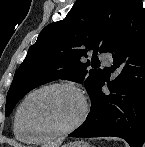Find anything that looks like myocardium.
<instances>
[{"mask_svg":"<svg viewBox=\"0 0 145 147\" xmlns=\"http://www.w3.org/2000/svg\"><path fill=\"white\" fill-rule=\"evenodd\" d=\"M51 89H68V90L73 91L79 97V99L81 101V105H82L81 113H80L79 117L71 125H69L68 127L64 128V129L57 130V131H39V132L30 131L28 128L25 127V125L23 123L22 114H23L24 107H25L26 103L28 102V100L30 98H32L34 95H36L40 92H43V91L51 90ZM88 111H89V106H88L87 98H86L85 94L83 93V91L78 86H76L72 83H65V82L51 83V84L41 86V87L31 91L28 95H26L24 97V99L21 101V103L17 109L16 121H17L19 128L23 132L28 133L39 140L51 139V138L65 136V135L70 134L71 132L75 131L77 128H79L85 122V120L88 116Z\"/></svg>","mask_w":145,"mask_h":147,"instance_id":"1","label":"myocardium"}]
</instances>
